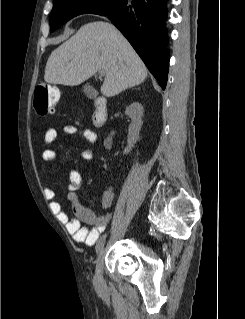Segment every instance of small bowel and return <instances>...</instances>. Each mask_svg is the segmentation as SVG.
<instances>
[{
  "label": "small bowel",
  "instance_id": "obj_1",
  "mask_svg": "<svg viewBox=\"0 0 245 319\" xmlns=\"http://www.w3.org/2000/svg\"><path fill=\"white\" fill-rule=\"evenodd\" d=\"M67 134H79L88 143L95 144L97 141L96 133L89 129H78L76 126L67 125L64 128ZM58 132L55 128L48 129L44 134V143L46 145H52ZM92 150L89 148L84 149L81 152V158L89 160L92 157ZM42 159L45 163H53L57 159V150L54 148H48L44 150ZM85 181L82 175L75 169L69 171V193L68 200L72 205L73 217H70L66 213L61 204L55 201V193L51 188H45L44 195L51 201V210L56 214L58 220L66 225L68 232L73 236L76 242L84 243L86 245H93L98 240L100 234L105 230L111 219V213L106 212L102 214H96L93 210L83 206L79 200L77 194L78 190H83ZM113 200V190L108 188L103 192L101 199V207L103 210L108 209L111 206Z\"/></svg>",
  "mask_w": 245,
  "mask_h": 319
}]
</instances>
